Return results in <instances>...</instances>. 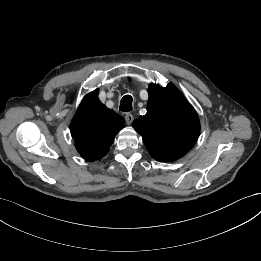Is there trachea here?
Segmentation results:
<instances>
[{"mask_svg":"<svg viewBox=\"0 0 261 261\" xmlns=\"http://www.w3.org/2000/svg\"><path fill=\"white\" fill-rule=\"evenodd\" d=\"M120 111L130 112L132 110V97L130 95H125L120 102Z\"/></svg>","mask_w":261,"mask_h":261,"instance_id":"trachea-1","label":"trachea"}]
</instances>
